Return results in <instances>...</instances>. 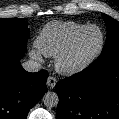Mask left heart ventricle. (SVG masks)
<instances>
[{
	"label": "left heart ventricle",
	"instance_id": "b2bd125f",
	"mask_svg": "<svg viewBox=\"0 0 119 119\" xmlns=\"http://www.w3.org/2000/svg\"><path fill=\"white\" fill-rule=\"evenodd\" d=\"M100 43V33L96 29L88 30L77 41L71 55L70 61L80 62L92 55Z\"/></svg>",
	"mask_w": 119,
	"mask_h": 119
}]
</instances>
